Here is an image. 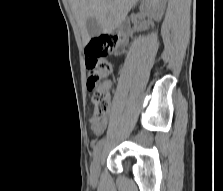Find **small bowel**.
Returning <instances> with one entry per match:
<instances>
[{"instance_id": "1", "label": "small bowel", "mask_w": 223, "mask_h": 191, "mask_svg": "<svg viewBox=\"0 0 223 191\" xmlns=\"http://www.w3.org/2000/svg\"><path fill=\"white\" fill-rule=\"evenodd\" d=\"M109 87H110V83H106L105 89H109ZM90 124H91L92 132L95 135L100 136L105 132L107 128L108 119L107 118L98 119L96 117H91Z\"/></svg>"}]
</instances>
